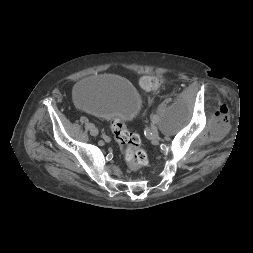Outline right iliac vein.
Instances as JSON below:
<instances>
[{
	"label": "right iliac vein",
	"instance_id": "1",
	"mask_svg": "<svg viewBox=\"0 0 253 253\" xmlns=\"http://www.w3.org/2000/svg\"><path fill=\"white\" fill-rule=\"evenodd\" d=\"M90 133L93 136H97L98 135V129L94 126L90 129Z\"/></svg>",
	"mask_w": 253,
	"mask_h": 253
}]
</instances>
